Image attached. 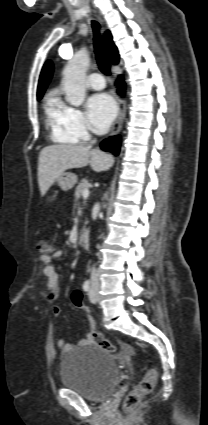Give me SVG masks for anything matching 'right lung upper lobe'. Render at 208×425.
Wrapping results in <instances>:
<instances>
[{"instance_id":"1","label":"right lung upper lobe","mask_w":208,"mask_h":425,"mask_svg":"<svg viewBox=\"0 0 208 425\" xmlns=\"http://www.w3.org/2000/svg\"><path fill=\"white\" fill-rule=\"evenodd\" d=\"M104 41H105V45L107 47V52H108V56H109L110 61L113 64H118L119 63V53H118L117 47L113 43L112 35H111L109 30H107L104 33ZM52 73H53V65L50 61H47L42 68L40 78H39L38 89H37V99L38 100H40L42 98V96L45 92V89H46L48 83L50 82Z\"/></svg>"}]
</instances>
